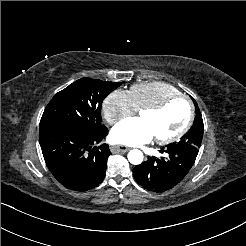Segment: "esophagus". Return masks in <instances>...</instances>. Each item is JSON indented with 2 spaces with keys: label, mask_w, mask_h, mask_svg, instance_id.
<instances>
[{
  "label": "esophagus",
  "mask_w": 246,
  "mask_h": 246,
  "mask_svg": "<svg viewBox=\"0 0 246 246\" xmlns=\"http://www.w3.org/2000/svg\"><path fill=\"white\" fill-rule=\"evenodd\" d=\"M111 151L113 153H118V152H127L130 150V148L123 146V145H113L110 147Z\"/></svg>",
  "instance_id": "1"
}]
</instances>
